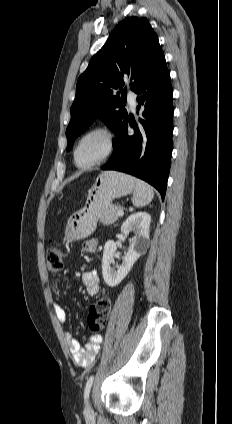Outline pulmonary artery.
<instances>
[{
    "instance_id": "pulmonary-artery-1",
    "label": "pulmonary artery",
    "mask_w": 232,
    "mask_h": 424,
    "mask_svg": "<svg viewBox=\"0 0 232 424\" xmlns=\"http://www.w3.org/2000/svg\"><path fill=\"white\" fill-rule=\"evenodd\" d=\"M127 99H128V102L130 104L132 111H134L135 107H136V95H135V93L129 92Z\"/></svg>"
}]
</instances>
